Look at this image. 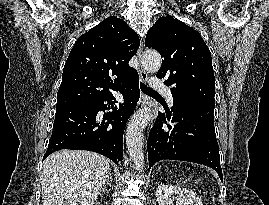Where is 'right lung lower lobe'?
I'll use <instances>...</instances> for the list:
<instances>
[{
    "label": "right lung lower lobe",
    "mask_w": 269,
    "mask_h": 205,
    "mask_svg": "<svg viewBox=\"0 0 269 205\" xmlns=\"http://www.w3.org/2000/svg\"><path fill=\"white\" fill-rule=\"evenodd\" d=\"M138 80L136 73L122 84L119 91L124 104L118 106L113 105L116 100L112 101V94L89 102L57 106L53 132L43 159L57 150L75 149L97 152L116 164L121 162L125 124L140 97ZM107 109H113V112L104 114L103 121L97 122L98 112Z\"/></svg>",
    "instance_id": "98d812e1"
}]
</instances>
